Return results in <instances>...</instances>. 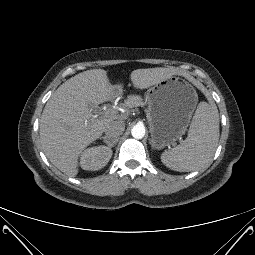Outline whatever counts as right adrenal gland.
I'll return each instance as SVG.
<instances>
[{
    "mask_svg": "<svg viewBox=\"0 0 255 255\" xmlns=\"http://www.w3.org/2000/svg\"><path fill=\"white\" fill-rule=\"evenodd\" d=\"M100 139H103L104 140V143L107 144V141H106V137H100ZM115 145H111V144H108V147L112 148L114 147Z\"/></svg>",
    "mask_w": 255,
    "mask_h": 255,
    "instance_id": "1",
    "label": "right adrenal gland"
}]
</instances>
